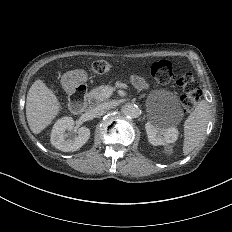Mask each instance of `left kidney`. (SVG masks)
<instances>
[{
  "label": "left kidney",
  "instance_id": "obj_1",
  "mask_svg": "<svg viewBox=\"0 0 232 232\" xmlns=\"http://www.w3.org/2000/svg\"><path fill=\"white\" fill-rule=\"evenodd\" d=\"M149 142L154 145L174 143L178 138V130L163 121H148L145 125Z\"/></svg>",
  "mask_w": 232,
  "mask_h": 232
}]
</instances>
